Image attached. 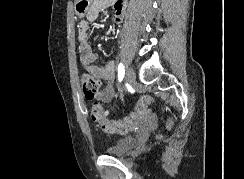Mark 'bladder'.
Returning <instances> with one entry per match:
<instances>
[{"label":"bladder","instance_id":"31cf9c89","mask_svg":"<svg viewBox=\"0 0 244 179\" xmlns=\"http://www.w3.org/2000/svg\"><path fill=\"white\" fill-rule=\"evenodd\" d=\"M136 141V136L121 138L113 147L107 148V153L112 157L125 156L131 152Z\"/></svg>","mask_w":244,"mask_h":179}]
</instances>
